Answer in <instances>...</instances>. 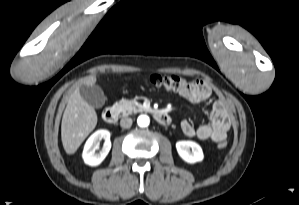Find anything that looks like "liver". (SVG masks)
<instances>
[{"mask_svg": "<svg viewBox=\"0 0 299 205\" xmlns=\"http://www.w3.org/2000/svg\"><path fill=\"white\" fill-rule=\"evenodd\" d=\"M96 83V76L91 75L83 79V84L92 86ZM97 124V114L81 96L79 87L71 93L64 110L61 123V139L67 154H73L93 131Z\"/></svg>", "mask_w": 299, "mask_h": 205, "instance_id": "6515ba94", "label": "liver"}]
</instances>
